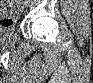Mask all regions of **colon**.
<instances>
[{
  "label": "colon",
  "mask_w": 93,
  "mask_h": 83,
  "mask_svg": "<svg viewBox=\"0 0 93 83\" xmlns=\"http://www.w3.org/2000/svg\"><path fill=\"white\" fill-rule=\"evenodd\" d=\"M10 3H11L10 1L4 2L1 12H0L1 23L5 26L13 22L14 14L17 11L13 7L6 6V4H10Z\"/></svg>",
  "instance_id": "obj_1"
}]
</instances>
